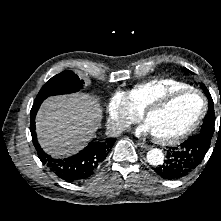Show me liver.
Listing matches in <instances>:
<instances>
[{
    "instance_id": "obj_1",
    "label": "liver",
    "mask_w": 221,
    "mask_h": 221,
    "mask_svg": "<svg viewBox=\"0 0 221 221\" xmlns=\"http://www.w3.org/2000/svg\"><path fill=\"white\" fill-rule=\"evenodd\" d=\"M101 118L100 104L89 94L49 97L36 116L39 142L52 157L73 155L95 137Z\"/></svg>"
}]
</instances>
